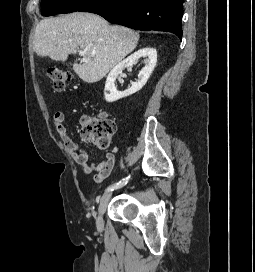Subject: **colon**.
Masks as SVG:
<instances>
[{
	"instance_id": "colon-1",
	"label": "colon",
	"mask_w": 255,
	"mask_h": 272,
	"mask_svg": "<svg viewBox=\"0 0 255 272\" xmlns=\"http://www.w3.org/2000/svg\"><path fill=\"white\" fill-rule=\"evenodd\" d=\"M47 76L52 81V87L55 92L63 91L71 79L70 72L62 68H50L47 71ZM115 131V121L106 115L83 120L80 128L81 136L99 149H107L109 147Z\"/></svg>"
}]
</instances>
